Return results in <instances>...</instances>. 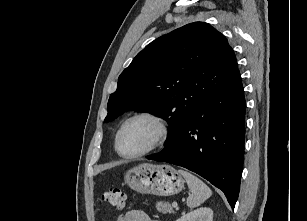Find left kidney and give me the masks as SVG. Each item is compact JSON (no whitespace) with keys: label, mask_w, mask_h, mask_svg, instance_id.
Returning <instances> with one entry per match:
<instances>
[{"label":"left kidney","mask_w":307,"mask_h":221,"mask_svg":"<svg viewBox=\"0 0 307 221\" xmlns=\"http://www.w3.org/2000/svg\"><path fill=\"white\" fill-rule=\"evenodd\" d=\"M176 221H213V211L202 207L181 216Z\"/></svg>","instance_id":"left-kidney-1"}]
</instances>
